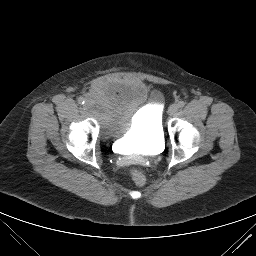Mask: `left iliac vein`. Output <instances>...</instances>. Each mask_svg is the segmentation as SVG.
<instances>
[{"label": "left iliac vein", "mask_w": 256, "mask_h": 256, "mask_svg": "<svg viewBox=\"0 0 256 256\" xmlns=\"http://www.w3.org/2000/svg\"><path fill=\"white\" fill-rule=\"evenodd\" d=\"M178 111V105L177 104H172L168 108V114L169 115H174Z\"/></svg>", "instance_id": "obj_1"}]
</instances>
